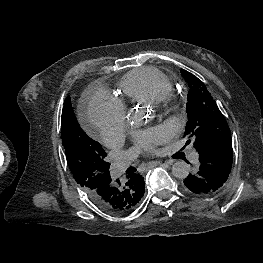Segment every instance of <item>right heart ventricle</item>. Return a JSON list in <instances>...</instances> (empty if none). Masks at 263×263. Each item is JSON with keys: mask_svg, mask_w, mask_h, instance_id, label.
Listing matches in <instances>:
<instances>
[{"mask_svg": "<svg viewBox=\"0 0 263 263\" xmlns=\"http://www.w3.org/2000/svg\"><path fill=\"white\" fill-rule=\"evenodd\" d=\"M118 88L122 97L130 102L153 104L173 92L171 80L155 67H141L128 71ZM124 106V102L119 100Z\"/></svg>", "mask_w": 263, "mask_h": 263, "instance_id": "e07e8e85", "label": "right heart ventricle"}]
</instances>
